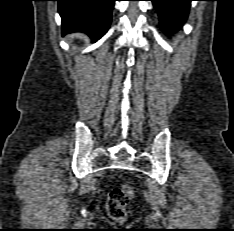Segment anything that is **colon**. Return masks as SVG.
<instances>
[{
  "label": "colon",
  "mask_w": 234,
  "mask_h": 231,
  "mask_svg": "<svg viewBox=\"0 0 234 231\" xmlns=\"http://www.w3.org/2000/svg\"><path fill=\"white\" fill-rule=\"evenodd\" d=\"M133 197L132 189L127 186L115 187L108 195L106 201L107 212L116 221H123L126 218V207Z\"/></svg>",
  "instance_id": "colon-1"
}]
</instances>
